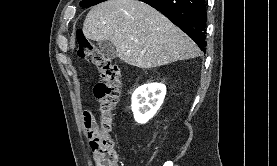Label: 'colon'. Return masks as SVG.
<instances>
[{
	"label": "colon",
	"mask_w": 277,
	"mask_h": 166,
	"mask_svg": "<svg viewBox=\"0 0 277 166\" xmlns=\"http://www.w3.org/2000/svg\"><path fill=\"white\" fill-rule=\"evenodd\" d=\"M78 55L94 64L101 81L94 87V95L100 104V120L87 122L86 130L97 166H118V155L112 138L113 110L119 99L120 69L111 59L91 43L79 30L77 32Z\"/></svg>",
	"instance_id": "obj_1"
}]
</instances>
